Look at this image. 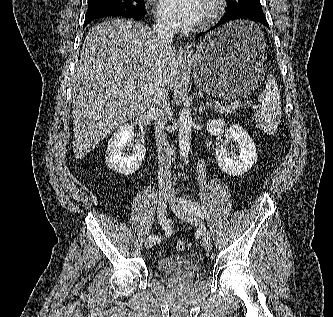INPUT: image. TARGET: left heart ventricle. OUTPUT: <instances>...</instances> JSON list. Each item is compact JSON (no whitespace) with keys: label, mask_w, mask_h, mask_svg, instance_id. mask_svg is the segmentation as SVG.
Returning a JSON list of instances; mask_svg holds the SVG:
<instances>
[{"label":"left heart ventricle","mask_w":333,"mask_h":317,"mask_svg":"<svg viewBox=\"0 0 333 317\" xmlns=\"http://www.w3.org/2000/svg\"><path fill=\"white\" fill-rule=\"evenodd\" d=\"M205 13H206V5H205V3H203V15H202V18L205 15Z\"/></svg>","instance_id":"obj_1"}]
</instances>
